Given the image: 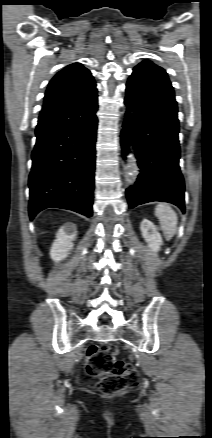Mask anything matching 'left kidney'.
I'll return each instance as SVG.
<instances>
[{"label":"left kidney","instance_id":"obj_1","mask_svg":"<svg viewBox=\"0 0 212 438\" xmlns=\"http://www.w3.org/2000/svg\"><path fill=\"white\" fill-rule=\"evenodd\" d=\"M140 230L151 250L158 252L160 246L163 244V240L160 233L157 231L156 226L151 221L143 219L140 224Z\"/></svg>","mask_w":212,"mask_h":438}]
</instances>
